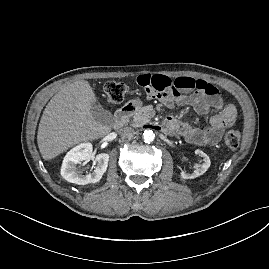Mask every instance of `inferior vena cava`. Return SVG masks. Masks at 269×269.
Segmentation results:
<instances>
[{"label": "inferior vena cava", "instance_id": "inferior-vena-cava-1", "mask_svg": "<svg viewBox=\"0 0 269 269\" xmlns=\"http://www.w3.org/2000/svg\"><path fill=\"white\" fill-rule=\"evenodd\" d=\"M120 134L124 138H132L135 134V131L131 127H124L120 130Z\"/></svg>", "mask_w": 269, "mask_h": 269}]
</instances>
